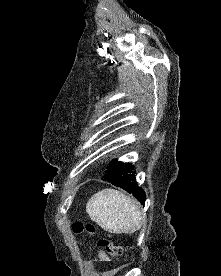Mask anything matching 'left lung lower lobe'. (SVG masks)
Instances as JSON below:
<instances>
[{
    "mask_svg": "<svg viewBox=\"0 0 221 276\" xmlns=\"http://www.w3.org/2000/svg\"><path fill=\"white\" fill-rule=\"evenodd\" d=\"M133 166L113 159L107 167L103 180L111 182L113 185L126 190L132 194L139 202L145 203V193L138 187L135 174L132 172Z\"/></svg>",
    "mask_w": 221,
    "mask_h": 276,
    "instance_id": "1",
    "label": "left lung lower lobe"
}]
</instances>
